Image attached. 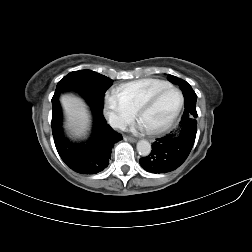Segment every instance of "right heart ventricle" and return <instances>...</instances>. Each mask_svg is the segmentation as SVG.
<instances>
[{"mask_svg":"<svg viewBox=\"0 0 252 252\" xmlns=\"http://www.w3.org/2000/svg\"><path fill=\"white\" fill-rule=\"evenodd\" d=\"M167 82L157 79H141L123 84L117 88L136 110L139 105L156 92L169 87Z\"/></svg>","mask_w":252,"mask_h":252,"instance_id":"obj_1","label":"right heart ventricle"}]
</instances>
